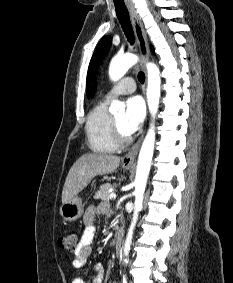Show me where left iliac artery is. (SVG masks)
<instances>
[{
    "label": "left iliac artery",
    "instance_id": "obj_1",
    "mask_svg": "<svg viewBox=\"0 0 233 283\" xmlns=\"http://www.w3.org/2000/svg\"><path fill=\"white\" fill-rule=\"evenodd\" d=\"M122 282H123V283H127V278H126V275H125V274H123Z\"/></svg>",
    "mask_w": 233,
    "mask_h": 283
}]
</instances>
